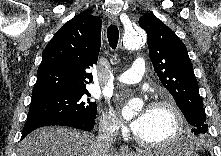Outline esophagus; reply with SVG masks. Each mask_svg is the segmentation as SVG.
Segmentation results:
<instances>
[{
    "mask_svg": "<svg viewBox=\"0 0 221 156\" xmlns=\"http://www.w3.org/2000/svg\"><path fill=\"white\" fill-rule=\"evenodd\" d=\"M109 21L110 23L116 25L118 24V17L115 15H111L109 17ZM119 152L121 156H136V154L133 151H131L127 146L120 147Z\"/></svg>",
    "mask_w": 221,
    "mask_h": 156,
    "instance_id": "obj_1",
    "label": "esophagus"
}]
</instances>
